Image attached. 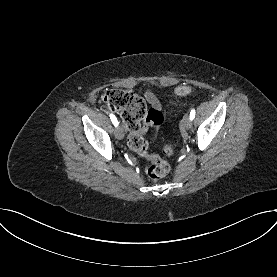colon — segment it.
<instances>
[{"label":"colon","mask_w":277,"mask_h":277,"mask_svg":"<svg viewBox=\"0 0 277 277\" xmlns=\"http://www.w3.org/2000/svg\"><path fill=\"white\" fill-rule=\"evenodd\" d=\"M174 93L177 96H186L192 93L190 86H179ZM102 101L112 111L117 112L126 127L130 131L128 139L129 147L139 156L150 161L146 170L148 178L152 181H158L165 177L169 170V164L159 156L148 152V143L143 137L142 125L144 122L153 127L157 132L159 126L163 123V113L157 109H148L145 101L137 94L124 89H109L102 94ZM163 152L167 156L174 153V147L166 144Z\"/></svg>","instance_id":"colon-1"}]
</instances>
